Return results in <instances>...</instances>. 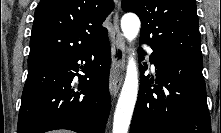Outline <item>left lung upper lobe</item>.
<instances>
[{
  "mask_svg": "<svg viewBox=\"0 0 221 133\" xmlns=\"http://www.w3.org/2000/svg\"><path fill=\"white\" fill-rule=\"evenodd\" d=\"M141 20L140 42L202 58L195 0H122Z\"/></svg>",
  "mask_w": 221,
  "mask_h": 133,
  "instance_id": "1",
  "label": "left lung upper lobe"
}]
</instances>
